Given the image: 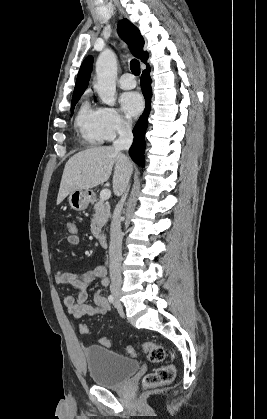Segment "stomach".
I'll use <instances>...</instances> for the list:
<instances>
[{"mask_svg": "<svg viewBox=\"0 0 267 419\" xmlns=\"http://www.w3.org/2000/svg\"><path fill=\"white\" fill-rule=\"evenodd\" d=\"M92 198V192L90 190H75L69 195V204L75 211L85 210Z\"/></svg>", "mask_w": 267, "mask_h": 419, "instance_id": "stomach-1", "label": "stomach"}]
</instances>
